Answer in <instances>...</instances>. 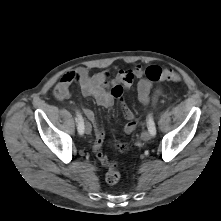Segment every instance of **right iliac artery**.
<instances>
[{"label": "right iliac artery", "instance_id": "right-iliac-artery-1", "mask_svg": "<svg viewBox=\"0 0 221 221\" xmlns=\"http://www.w3.org/2000/svg\"><path fill=\"white\" fill-rule=\"evenodd\" d=\"M76 121H77L78 132H79V134L82 135L84 133V120H83V117L80 113H77Z\"/></svg>", "mask_w": 221, "mask_h": 221}]
</instances>
